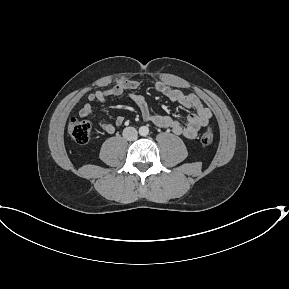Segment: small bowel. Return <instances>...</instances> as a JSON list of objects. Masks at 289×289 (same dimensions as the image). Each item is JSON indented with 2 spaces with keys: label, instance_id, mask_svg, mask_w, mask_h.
<instances>
[{
  "label": "small bowel",
  "instance_id": "1",
  "mask_svg": "<svg viewBox=\"0 0 289 289\" xmlns=\"http://www.w3.org/2000/svg\"><path fill=\"white\" fill-rule=\"evenodd\" d=\"M139 85L140 83L136 80L123 79L110 88L98 90L89 94L87 103L80 109V117H91V104L93 102L104 103L109 97L120 96L125 93H127L130 99L139 107L142 118L145 121L151 122L160 128L169 129L176 135L187 139L195 138L200 129L205 127L212 117L211 110L202 103L198 96L193 93H185L181 90L174 89L162 82H156L154 85L155 89L159 93L173 102H176L188 109H192L194 113L188 116L186 123L167 115L153 114L145 98L136 92ZM123 123L124 118L122 116H118L115 119L114 124L97 120V125L109 134L114 133L116 128L121 126Z\"/></svg>",
  "mask_w": 289,
  "mask_h": 289
}]
</instances>
